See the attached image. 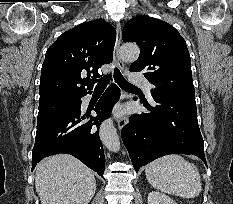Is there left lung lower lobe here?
I'll use <instances>...</instances> for the list:
<instances>
[{"instance_id":"obj_1","label":"left lung lower lobe","mask_w":233,"mask_h":204,"mask_svg":"<svg viewBox=\"0 0 233 204\" xmlns=\"http://www.w3.org/2000/svg\"><path fill=\"white\" fill-rule=\"evenodd\" d=\"M155 105L141 100L149 114H134L122 129V139L136 171L168 154H192L206 165L195 98L155 95Z\"/></svg>"}]
</instances>
